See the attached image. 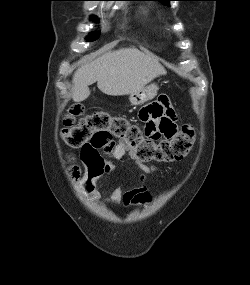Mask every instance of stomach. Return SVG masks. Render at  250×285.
<instances>
[{
	"label": "stomach",
	"mask_w": 250,
	"mask_h": 285,
	"mask_svg": "<svg viewBox=\"0 0 250 285\" xmlns=\"http://www.w3.org/2000/svg\"><path fill=\"white\" fill-rule=\"evenodd\" d=\"M158 89L156 84L147 85L139 91L130 93L129 101L132 105H142L147 101L152 100L157 95Z\"/></svg>",
	"instance_id": "1"
}]
</instances>
